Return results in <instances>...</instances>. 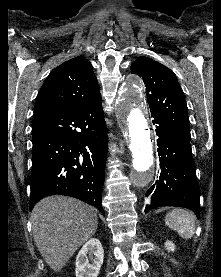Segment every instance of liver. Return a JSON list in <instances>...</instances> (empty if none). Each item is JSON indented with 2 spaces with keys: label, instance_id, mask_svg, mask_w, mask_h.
<instances>
[{
  "label": "liver",
  "instance_id": "obj_1",
  "mask_svg": "<svg viewBox=\"0 0 221 277\" xmlns=\"http://www.w3.org/2000/svg\"><path fill=\"white\" fill-rule=\"evenodd\" d=\"M35 244L51 269L58 272L75 251L96 232V209L79 200L50 196L31 214Z\"/></svg>",
  "mask_w": 221,
  "mask_h": 277
}]
</instances>
